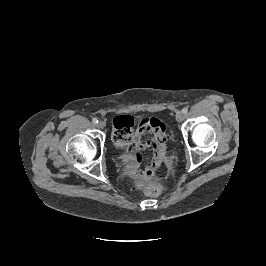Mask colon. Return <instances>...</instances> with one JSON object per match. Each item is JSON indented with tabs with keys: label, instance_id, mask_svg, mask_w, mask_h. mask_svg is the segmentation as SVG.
<instances>
[{
	"label": "colon",
	"instance_id": "1",
	"mask_svg": "<svg viewBox=\"0 0 266 266\" xmlns=\"http://www.w3.org/2000/svg\"><path fill=\"white\" fill-rule=\"evenodd\" d=\"M137 189L143 191L147 196L158 197L162 194L163 188L157 183L147 182L143 178H139L135 182Z\"/></svg>",
	"mask_w": 266,
	"mask_h": 266
}]
</instances>
